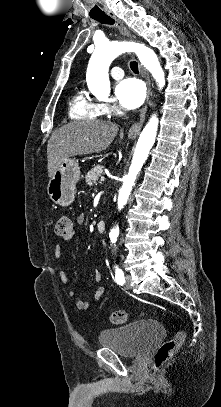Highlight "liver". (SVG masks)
<instances>
[{
	"mask_svg": "<svg viewBox=\"0 0 221 407\" xmlns=\"http://www.w3.org/2000/svg\"><path fill=\"white\" fill-rule=\"evenodd\" d=\"M118 131L117 124L99 120L75 121L56 129L47 145L48 176L70 157L104 151Z\"/></svg>",
	"mask_w": 221,
	"mask_h": 407,
	"instance_id": "1",
	"label": "liver"
}]
</instances>
